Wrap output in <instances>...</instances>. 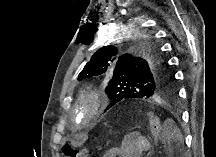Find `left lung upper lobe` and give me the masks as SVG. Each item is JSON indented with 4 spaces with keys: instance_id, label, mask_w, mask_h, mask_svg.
<instances>
[{
    "instance_id": "left-lung-upper-lobe-1",
    "label": "left lung upper lobe",
    "mask_w": 216,
    "mask_h": 157,
    "mask_svg": "<svg viewBox=\"0 0 216 157\" xmlns=\"http://www.w3.org/2000/svg\"><path fill=\"white\" fill-rule=\"evenodd\" d=\"M131 30L128 35H115V39H109L112 45H104L94 53L78 80L113 74L105 89L111 104L174 96L175 78L153 41V31H142V27Z\"/></svg>"
}]
</instances>
